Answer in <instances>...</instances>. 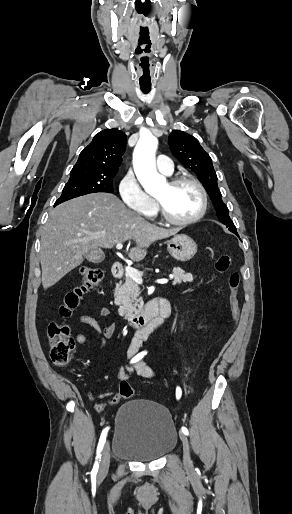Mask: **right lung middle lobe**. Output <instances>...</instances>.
Here are the masks:
<instances>
[{"instance_id": "dd1d6c3e", "label": "right lung middle lobe", "mask_w": 292, "mask_h": 514, "mask_svg": "<svg viewBox=\"0 0 292 514\" xmlns=\"http://www.w3.org/2000/svg\"><path fill=\"white\" fill-rule=\"evenodd\" d=\"M113 177V175L70 174L69 181L54 206L89 193H113Z\"/></svg>"}]
</instances>
